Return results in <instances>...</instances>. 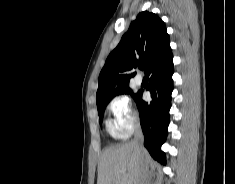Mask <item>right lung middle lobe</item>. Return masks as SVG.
Instances as JSON below:
<instances>
[{"label":"right lung middle lobe","instance_id":"dd1d6c3e","mask_svg":"<svg viewBox=\"0 0 235 184\" xmlns=\"http://www.w3.org/2000/svg\"><path fill=\"white\" fill-rule=\"evenodd\" d=\"M120 94H130L134 99L138 95V93L133 94L132 89L129 86H124V87L114 89L113 92H112V98L114 96L120 95ZM105 107H106V105L97 106L99 116L102 115V113L104 112Z\"/></svg>","mask_w":235,"mask_h":184}]
</instances>
